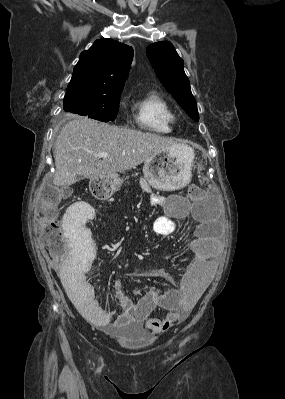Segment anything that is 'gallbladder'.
Listing matches in <instances>:
<instances>
[{
    "label": "gallbladder",
    "mask_w": 285,
    "mask_h": 399,
    "mask_svg": "<svg viewBox=\"0 0 285 399\" xmlns=\"http://www.w3.org/2000/svg\"><path fill=\"white\" fill-rule=\"evenodd\" d=\"M81 179H83L81 176H79L76 181H80Z\"/></svg>",
    "instance_id": "1"
}]
</instances>
